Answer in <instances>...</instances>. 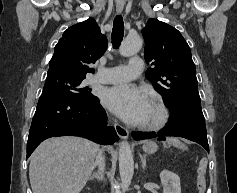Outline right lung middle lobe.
I'll return each mask as SVG.
<instances>
[{
	"instance_id": "1",
	"label": "right lung middle lobe",
	"mask_w": 237,
	"mask_h": 193,
	"mask_svg": "<svg viewBox=\"0 0 237 193\" xmlns=\"http://www.w3.org/2000/svg\"><path fill=\"white\" fill-rule=\"evenodd\" d=\"M83 77H75L59 71L48 72L43 93L52 92L66 96L76 102H88L95 99L91 89L82 84Z\"/></svg>"
}]
</instances>
